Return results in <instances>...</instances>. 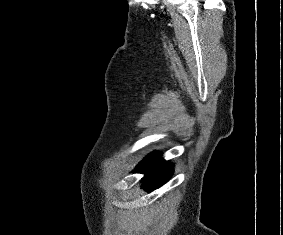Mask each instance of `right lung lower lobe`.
<instances>
[{
	"instance_id": "right-lung-lower-lobe-1",
	"label": "right lung lower lobe",
	"mask_w": 283,
	"mask_h": 235,
	"mask_svg": "<svg viewBox=\"0 0 283 235\" xmlns=\"http://www.w3.org/2000/svg\"><path fill=\"white\" fill-rule=\"evenodd\" d=\"M172 165L164 161L160 155L149 154L136 167L135 172L145 174L143 178L144 185L148 190H154L164 184L172 175Z\"/></svg>"
}]
</instances>
